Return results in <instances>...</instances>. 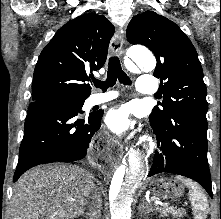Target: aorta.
I'll return each mask as SVG.
<instances>
[{"mask_svg": "<svg viewBox=\"0 0 221 219\" xmlns=\"http://www.w3.org/2000/svg\"><path fill=\"white\" fill-rule=\"evenodd\" d=\"M127 57L132 67L152 71L156 66L155 57L145 47L130 48ZM145 174L146 156L141 151L133 152L128 162L116 169L109 191L111 219H131V206Z\"/></svg>", "mask_w": 221, "mask_h": 219, "instance_id": "aorta-1", "label": "aorta"}]
</instances>
